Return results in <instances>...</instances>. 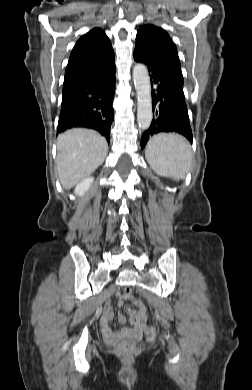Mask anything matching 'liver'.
<instances>
[{
    "mask_svg": "<svg viewBox=\"0 0 252 390\" xmlns=\"http://www.w3.org/2000/svg\"><path fill=\"white\" fill-rule=\"evenodd\" d=\"M108 144L94 130L71 129L57 140V171L65 189L90 176L104 162Z\"/></svg>",
    "mask_w": 252,
    "mask_h": 390,
    "instance_id": "6515ba94",
    "label": "liver"
}]
</instances>
